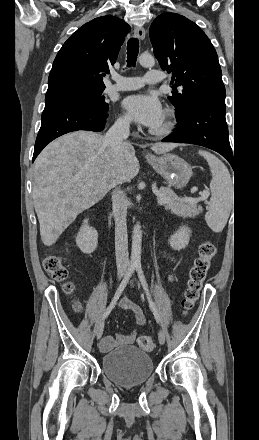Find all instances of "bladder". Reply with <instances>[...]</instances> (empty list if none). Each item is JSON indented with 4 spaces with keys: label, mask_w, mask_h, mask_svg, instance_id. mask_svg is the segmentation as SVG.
<instances>
[{
    "label": "bladder",
    "mask_w": 259,
    "mask_h": 440,
    "mask_svg": "<svg viewBox=\"0 0 259 440\" xmlns=\"http://www.w3.org/2000/svg\"><path fill=\"white\" fill-rule=\"evenodd\" d=\"M102 371L118 385L135 386L152 376L154 364L144 350L136 346H121L102 357Z\"/></svg>",
    "instance_id": "bladder-1"
}]
</instances>
